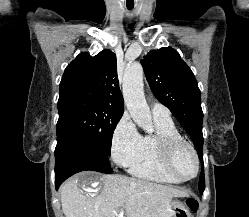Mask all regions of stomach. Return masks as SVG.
<instances>
[{"label": "stomach", "mask_w": 249, "mask_h": 217, "mask_svg": "<svg viewBox=\"0 0 249 217\" xmlns=\"http://www.w3.org/2000/svg\"><path fill=\"white\" fill-rule=\"evenodd\" d=\"M170 204H171V207L174 209V210H173V216H172V217H176L177 211H175V210L178 209L179 203L173 201V202H171Z\"/></svg>", "instance_id": "0dacf381"}]
</instances>
